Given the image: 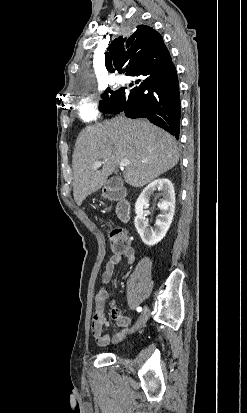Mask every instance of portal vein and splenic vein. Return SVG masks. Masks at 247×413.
Returning <instances> with one entry per match:
<instances>
[{
	"mask_svg": "<svg viewBox=\"0 0 247 413\" xmlns=\"http://www.w3.org/2000/svg\"><path fill=\"white\" fill-rule=\"evenodd\" d=\"M127 164H129V160H120L119 162L120 168H124ZM94 166H102V160H96V162H94Z\"/></svg>",
	"mask_w": 247,
	"mask_h": 413,
	"instance_id": "portal-vein-and-splenic-vein-1",
	"label": "portal vein and splenic vein"
}]
</instances>
